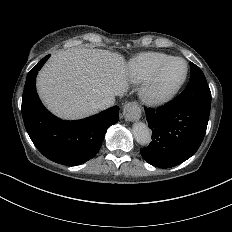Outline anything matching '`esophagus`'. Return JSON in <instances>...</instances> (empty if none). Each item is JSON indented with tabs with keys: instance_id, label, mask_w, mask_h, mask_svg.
<instances>
[{
	"instance_id": "obj_1",
	"label": "esophagus",
	"mask_w": 232,
	"mask_h": 232,
	"mask_svg": "<svg viewBox=\"0 0 232 232\" xmlns=\"http://www.w3.org/2000/svg\"><path fill=\"white\" fill-rule=\"evenodd\" d=\"M142 110L137 102H129L124 105L123 116L126 121H135L141 117Z\"/></svg>"
}]
</instances>
